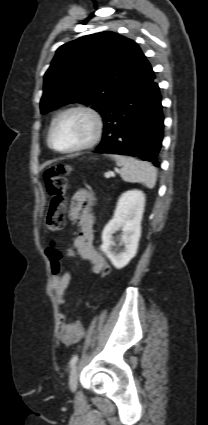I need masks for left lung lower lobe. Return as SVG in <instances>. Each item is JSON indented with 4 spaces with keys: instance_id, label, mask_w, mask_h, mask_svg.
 Wrapping results in <instances>:
<instances>
[{
    "instance_id": "obj_1",
    "label": "left lung lower lobe",
    "mask_w": 208,
    "mask_h": 425,
    "mask_svg": "<svg viewBox=\"0 0 208 425\" xmlns=\"http://www.w3.org/2000/svg\"><path fill=\"white\" fill-rule=\"evenodd\" d=\"M102 116L103 139L95 152L138 156L159 167L164 117L159 87L147 59Z\"/></svg>"
}]
</instances>
